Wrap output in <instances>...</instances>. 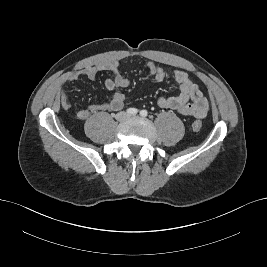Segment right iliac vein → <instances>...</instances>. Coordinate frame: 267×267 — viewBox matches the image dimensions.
<instances>
[{
  "mask_svg": "<svg viewBox=\"0 0 267 267\" xmlns=\"http://www.w3.org/2000/svg\"><path fill=\"white\" fill-rule=\"evenodd\" d=\"M126 118H127V114L124 112H121L117 115V119L120 121L125 120Z\"/></svg>",
  "mask_w": 267,
  "mask_h": 267,
  "instance_id": "63e3f726",
  "label": "right iliac vein"
}]
</instances>
